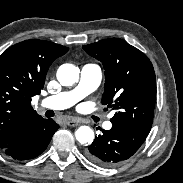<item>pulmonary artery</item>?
Segmentation results:
<instances>
[{
	"mask_svg": "<svg viewBox=\"0 0 183 183\" xmlns=\"http://www.w3.org/2000/svg\"><path fill=\"white\" fill-rule=\"evenodd\" d=\"M101 79L102 71L100 66L98 64H86L81 69L79 83L74 89L43 99L41 106L53 110L67 109L95 91L100 85ZM103 127L110 129L112 123L105 121Z\"/></svg>",
	"mask_w": 183,
	"mask_h": 183,
	"instance_id": "obj_1",
	"label": "pulmonary artery"
}]
</instances>
